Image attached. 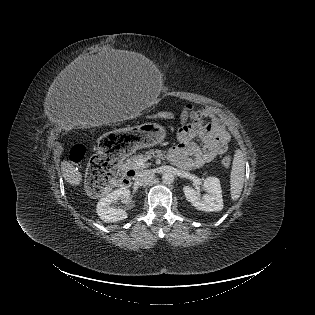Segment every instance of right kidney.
<instances>
[{
	"label": "right kidney",
	"mask_w": 315,
	"mask_h": 315,
	"mask_svg": "<svg viewBox=\"0 0 315 315\" xmlns=\"http://www.w3.org/2000/svg\"><path fill=\"white\" fill-rule=\"evenodd\" d=\"M130 191L127 188H118L101 198L97 204V214L104 222H118L127 218V212L123 209L112 207L111 204L119 199H128Z\"/></svg>",
	"instance_id": "ca27d5eb"
}]
</instances>
